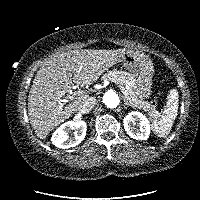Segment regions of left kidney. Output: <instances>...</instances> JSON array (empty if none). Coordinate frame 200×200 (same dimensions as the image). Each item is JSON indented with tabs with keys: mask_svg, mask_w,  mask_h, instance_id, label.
Instances as JSON below:
<instances>
[{
	"mask_svg": "<svg viewBox=\"0 0 200 200\" xmlns=\"http://www.w3.org/2000/svg\"><path fill=\"white\" fill-rule=\"evenodd\" d=\"M124 129L127 134L136 140H147L150 135L151 125L148 118L141 112L132 111L124 117Z\"/></svg>",
	"mask_w": 200,
	"mask_h": 200,
	"instance_id": "left-kidney-1",
	"label": "left kidney"
}]
</instances>
